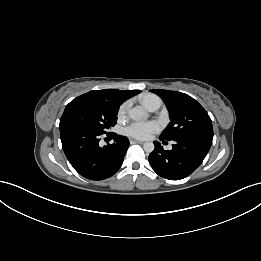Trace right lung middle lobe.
Instances as JSON below:
<instances>
[{
    "label": "right lung middle lobe",
    "mask_w": 261,
    "mask_h": 261,
    "mask_svg": "<svg viewBox=\"0 0 261 261\" xmlns=\"http://www.w3.org/2000/svg\"><path fill=\"white\" fill-rule=\"evenodd\" d=\"M119 105L103 94L88 92L72 100L60 119V128L72 127L107 134L117 121Z\"/></svg>",
    "instance_id": "obj_1"
}]
</instances>
